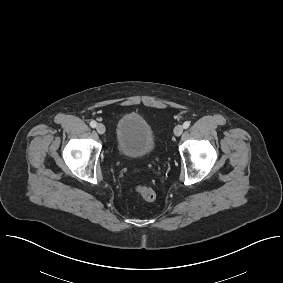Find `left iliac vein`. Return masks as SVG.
Here are the masks:
<instances>
[{"instance_id": "1", "label": "left iliac vein", "mask_w": 283, "mask_h": 283, "mask_svg": "<svg viewBox=\"0 0 283 283\" xmlns=\"http://www.w3.org/2000/svg\"><path fill=\"white\" fill-rule=\"evenodd\" d=\"M183 132V126L182 125H177L175 128H174V134L176 136H180Z\"/></svg>"}]
</instances>
